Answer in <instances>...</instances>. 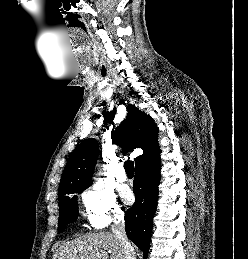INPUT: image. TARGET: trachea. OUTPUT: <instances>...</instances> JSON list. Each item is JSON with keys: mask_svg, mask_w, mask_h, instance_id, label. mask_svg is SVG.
<instances>
[{"mask_svg": "<svg viewBox=\"0 0 248 259\" xmlns=\"http://www.w3.org/2000/svg\"><path fill=\"white\" fill-rule=\"evenodd\" d=\"M124 168L127 175H133L134 174V162L130 160V158L125 161Z\"/></svg>", "mask_w": 248, "mask_h": 259, "instance_id": "1", "label": "trachea"}]
</instances>
